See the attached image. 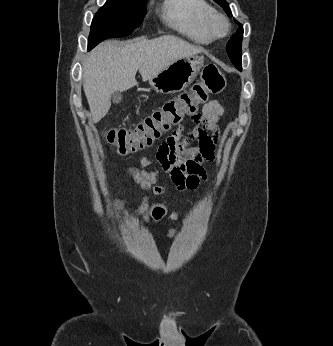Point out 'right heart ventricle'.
Wrapping results in <instances>:
<instances>
[{
    "instance_id": "1",
    "label": "right heart ventricle",
    "mask_w": 333,
    "mask_h": 346,
    "mask_svg": "<svg viewBox=\"0 0 333 346\" xmlns=\"http://www.w3.org/2000/svg\"><path fill=\"white\" fill-rule=\"evenodd\" d=\"M214 12L208 0H164L162 6L165 23L197 43L212 41L208 21Z\"/></svg>"
}]
</instances>
